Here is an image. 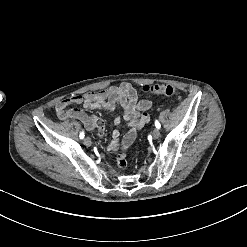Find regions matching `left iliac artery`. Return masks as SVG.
Listing matches in <instances>:
<instances>
[{
	"label": "left iliac artery",
	"instance_id": "obj_1",
	"mask_svg": "<svg viewBox=\"0 0 247 247\" xmlns=\"http://www.w3.org/2000/svg\"><path fill=\"white\" fill-rule=\"evenodd\" d=\"M155 126H156V128L160 129L161 125H160V123L158 122V120L155 121Z\"/></svg>",
	"mask_w": 247,
	"mask_h": 247
}]
</instances>
